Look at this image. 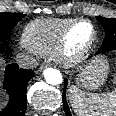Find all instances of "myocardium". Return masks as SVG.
<instances>
[{"instance_id":"1","label":"myocardium","mask_w":116,"mask_h":116,"mask_svg":"<svg viewBox=\"0 0 116 116\" xmlns=\"http://www.w3.org/2000/svg\"><path fill=\"white\" fill-rule=\"evenodd\" d=\"M80 24H88L92 29V35L88 42L78 51L73 52L68 46V39L73 30ZM97 39V29L94 23L88 19H75L60 33L53 51L56 61L65 67H73L81 63L92 50Z\"/></svg>"}]
</instances>
